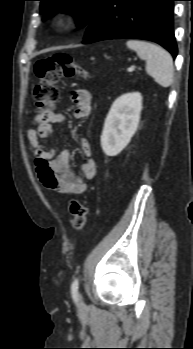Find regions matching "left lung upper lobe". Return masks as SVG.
<instances>
[{"label":"left lung upper lobe","mask_w":193,"mask_h":349,"mask_svg":"<svg viewBox=\"0 0 193 349\" xmlns=\"http://www.w3.org/2000/svg\"><path fill=\"white\" fill-rule=\"evenodd\" d=\"M40 12L48 16L55 11L72 12L80 15L78 26L90 25L97 17L106 0H39Z\"/></svg>","instance_id":"5c2ea615"}]
</instances>
